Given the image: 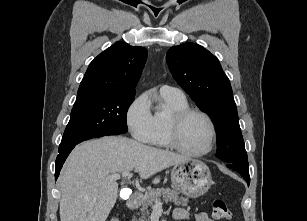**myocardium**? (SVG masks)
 <instances>
[{
	"instance_id": "1",
	"label": "myocardium",
	"mask_w": 307,
	"mask_h": 221,
	"mask_svg": "<svg viewBox=\"0 0 307 221\" xmlns=\"http://www.w3.org/2000/svg\"><path fill=\"white\" fill-rule=\"evenodd\" d=\"M194 114L200 115L201 117H203L208 123L209 128H210L209 145L205 150L200 151V152L190 151L184 148L180 143V132H181L183 123L189 116L194 115ZM216 141H217L216 125L208 113L200 109H197V108L188 107V108L175 112L171 116L170 123H169V143H170V146L176 151L184 155L190 156V157H202L212 152V150L214 149L216 145Z\"/></svg>"
}]
</instances>
